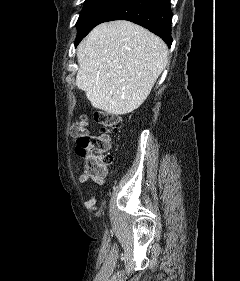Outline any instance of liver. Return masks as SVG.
Here are the masks:
<instances>
[{"mask_svg": "<svg viewBox=\"0 0 240 281\" xmlns=\"http://www.w3.org/2000/svg\"><path fill=\"white\" fill-rule=\"evenodd\" d=\"M76 86L96 109L113 115L136 110L168 61L162 39L129 21L96 26L77 48Z\"/></svg>", "mask_w": 240, "mask_h": 281, "instance_id": "liver-1", "label": "liver"}]
</instances>
